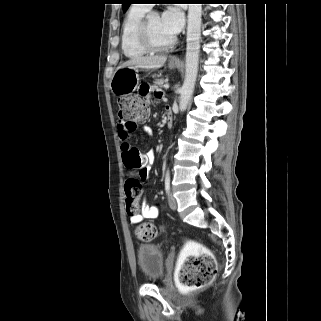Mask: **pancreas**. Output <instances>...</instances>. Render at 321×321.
Instances as JSON below:
<instances>
[{"mask_svg":"<svg viewBox=\"0 0 321 321\" xmlns=\"http://www.w3.org/2000/svg\"><path fill=\"white\" fill-rule=\"evenodd\" d=\"M167 83V80L166 79H163V78H161V79H156L155 81H154V85H155V87H162L164 84H166Z\"/></svg>","mask_w":321,"mask_h":321,"instance_id":"obj_1","label":"pancreas"}]
</instances>
